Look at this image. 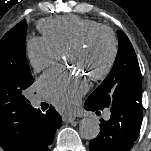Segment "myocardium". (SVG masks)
<instances>
[{"instance_id":"1","label":"myocardium","mask_w":151,"mask_h":151,"mask_svg":"<svg viewBox=\"0 0 151 151\" xmlns=\"http://www.w3.org/2000/svg\"><path fill=\"white\" fill-rule=\"evenodd\" d=\"M100 34L107 36L110 43V55L106 64L99 70L90 73L89 76L94 80H99L104 78L111 71L112 67L117 58L118 53V43L114 32L107 26H96L91 28L87 33L76 43H74L68 50L67 55H72L80 53L87 49L92 41Z\"/></svg>"}]
</instances>
